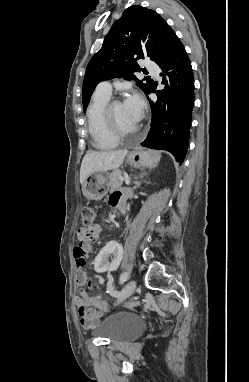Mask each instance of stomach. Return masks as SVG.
<instances>
[{
  "mask_svg": "<svg viewBox=\"0 0 249 382\" xmlns=\"http://www.w3.org/2000/svg\"><path fill=\"white\" fill-rule=\"evenodd\" d=\"M160 160L158 153L152 150L137 149L127 156V163L133 167H155ZM106 172H94L87 176L82 184V193L87 200H101L109 187Z\"/></svg>",
  "mask_w": 249,
  "mask_h": 382,
  "instance_id": "obj_1",
  "label": "stomach"
}]
</instances>
